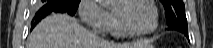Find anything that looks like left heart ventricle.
I'll list each match as a JSON object with an SVG mask.
<instances>
[{"mask_svg":"<svg viewBox=\"0 0 213 48\" xmlns=\"http://www.w3.org/2000/svg\"><path fill=\"white\" fill-rule=\"evenodd\" d=\"M114 10L120 12L126 23L134 30L146 31L153 25V11L145 2L135 1L127 5L120 3Z\"/></svg>","mask_w":213,"mask_h":48,"instance_id":"obj_1","label":"left heart ventricle"}]
</instances>
